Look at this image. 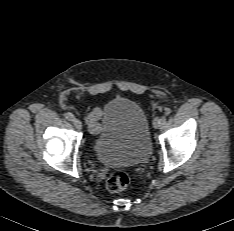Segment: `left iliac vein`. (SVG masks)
<instances>
[{"instance_id":"1","label":"left iliac vein","mask_w":234,"mask_h":231,"mask_svg":"<svg viewBox=\"0 0 234 231\" xmlns=\"http://www.w3.org/2000/svg\"><path fill=\"white\" fill-rule=\"evenodd\" d=\"M153 126L154 128L158 129L160 127V118L159 117H156L154 120H153Z\"/></svg>"}]
</instances>
